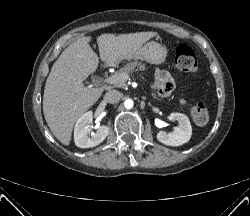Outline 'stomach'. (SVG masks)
I'll use <instances>...</instances> for the list:
<instances>
[{
  "mask_svg": "<svg viewBox=\"0 0 250 216\" xmlns=\"http://www.w3.org/2000/svg\"><path fill=\"white\" fill-rule=\"evenodd\" d=\"M166 58H167L166 48L157 42L150 41L144 43L137 50L120 57L118 60L119 62L126 60L129 61L132 59L145 60L152 64L160 65L166 61Z\"/></svg>",
  "mask_w": 250,
  "mask_h": 216,
  "instance_id": "obj_1",
  "label": "stomach"
}]
</instances>
